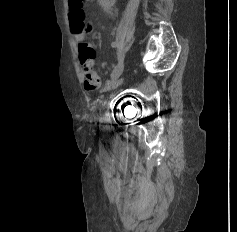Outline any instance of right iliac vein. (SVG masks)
Wrapping results in <instances>:
<instances>
[{
    "mask_svg": "<svg viewBox=\"0 0 237 232\" xmlns=\"http://www.w3.org/2000/svg\"><path fill=\"white\" fill-rule=\"evenodd\" d=\"M124 70V63L123 61L120 62L116 67L115 69L113 70L112 72V75H111V84H113L119 77L120 75L122 74ZM105 102L102 103V105L104 104Z\"/></svg>",
    "mask_w": 237,
    "mask_h": 232,
    "instance_id": "1",
    "label": "right iliac vein"
}]
</instances>
